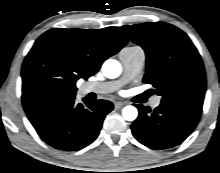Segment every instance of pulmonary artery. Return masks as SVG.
Returning <instances> with one entry per match:
<instances>
[{
	"label": "pulmonary artery",
	"mask_w": 220,
	"mask_h": 173,
	"mask_svg": "<svg viewBox=\"0 0 220 173\" xmlns=\"http://www.w3.org/2000/svg\"><path fill=\"white\" fill-rule=\"evenodd\" d=\"M123 65V76L117 81L111 82H92L87 84V92L97 94H107L113 92L121 85L137 77L145 65V54L140 48L124 49L120 54ZM160 99L156 97L152 101V106H157Z\"/></svg>",
	"instance_id": "pulmonary-artery-1"
}]
</instances>
